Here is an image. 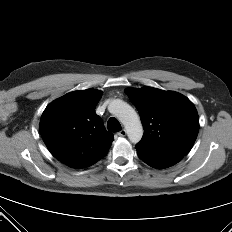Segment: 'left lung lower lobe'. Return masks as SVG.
Here are the masks:
<instances>
[{
    "label": "left lung lower lobe",
    "instance_id": "1",
    "mask_svg": "<svg viewBox=\"0 0 232 232\" xmlns=\"http://www.w3.org/2000/svg\"><path fill=\"white\" fill-rule=\"evenodd\" d=\"M138 156L148 165L157 168H167L170 167L176 163H178L183 156L181 155H173V156H149L137 153Z\"/></svg>",
    "mask_w": 232,
    "mask_h": 232
}]
</instances>
